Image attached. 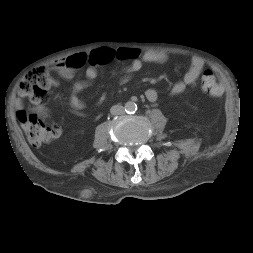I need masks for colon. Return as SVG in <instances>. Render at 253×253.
<instances>
[{
	"label": "colon",
	"mask_w": 253,
	"mask_h": 253,
	"mask_svg": "<svg viewBox=\"0 0 253 253\" xmlns=\"http://www.w3.org/2000/svg\"><path fill=\"white\" fill-rule=\"evenodd\" d=\"M204 92L219 97L223 94V86L216 80L212 71L204 72L201 80ZM50 80L45 67H37L27 74L19 85V94L27 98L32 104L40 103L48 94ZM17 118L20 121L29 142L34 146H41L57 138L61 134L58 124H46L36 114L19 107Z\"/></svg>",
	"instance_id": "colon-1"
}]
</instances>
